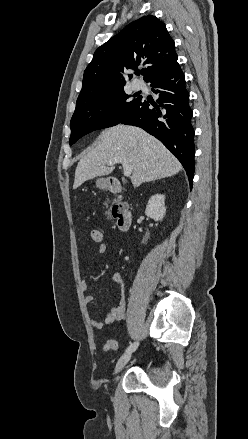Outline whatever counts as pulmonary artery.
Instances as JSON below:
<instances>
[{"mask_svg":"<svg viewBox=\"0 0 248 439\" xmlns=\"http://www.w3.org/2000/svg\"><path fill=\"white\" fill-rule=\"evenodd\" d=\"M131 86L134 90H140L143 87V84L141 81L139 80H133L131 82Z\"/></svg>","mask_w":248,"mask_h":439,"instance_id":"e3ab8cb5","label":"pulmonary artery"}]
</instances>
